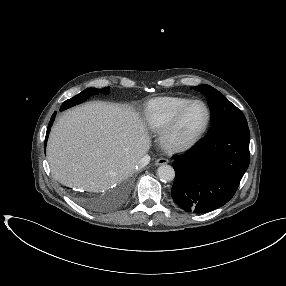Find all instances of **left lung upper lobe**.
Listing matches in <instances>:
<instances>
[{
	"label": "left lung upper lobe",
	"instance_id": "1",
	"mask_svg": "<svg viewBox=\"0 0 286 286\" xmlns=\"http://www.w3.org/2000/svg\"><path fill=\"white\" fill-rule=\"evenodd\" d=\"M207 99L211 111L212 129L226 125H248L240 109L227 100L219 91L209 85L194 87Z\"/></svg>",
	"mask_w": 286,
	"mask_h": 286
}]
</instances>
